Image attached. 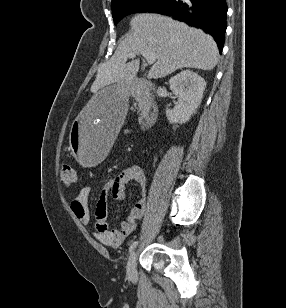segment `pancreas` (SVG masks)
Here are the masks:
<instances>
[{
    "mask_svg": "<svg viewBox=\"0 0 286 308\" xmlns=\"http://www.w3.org/2000/svg\"><path fill=\"white\" fill-rule=\"evenodd\" d=\"M132 97L139 106V122H141L148 114L151 108V98L147 90L132 87L130 90Z\"/></svg>",
    "mask_w": 286,
    "mask_h": 308,
    "instance_id": "1",
    "label": "pancreas"
}]
</instances>
